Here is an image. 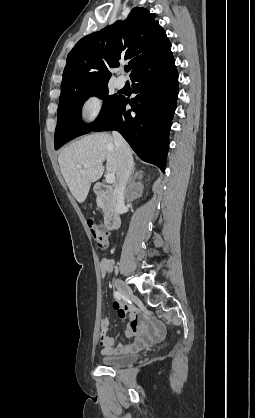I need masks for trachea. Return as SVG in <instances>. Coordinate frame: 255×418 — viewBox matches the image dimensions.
<instances>
[{"label": "trachea", "mask_w": 255, "mask_h": 418, "mask_svg": "<svg viewBox=\"0 0 255 418\" xmlns=\"http://www.w3.org/2000/svg\"><path fill=\"white\" fill-rule=\"evenodd\" d=\"M124 70H125L126 72H129V71H130V67H129V66H125V67H124Z\"/></svg>", "instance_id": "obj_1"}]
</instances>
